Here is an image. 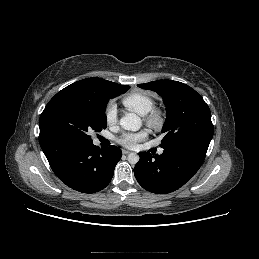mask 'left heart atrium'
Segmentation results:
<instances>
[{"label": "left heart atrium", "instance_id": "obj_1", "mask_svg": "<svg viewBox=\"0 0 259 259\" xmlns=\"http://www.w3.org/2000/svg\"><path fill=\"white\" fill-rule=\"evenodd\" d=\"M147 137L146 131L125 132L119 138L118 142L127 148H134L138 142Z\"/></svg>", "mask_w": 259, "mask_h": 259}]
</instances>
